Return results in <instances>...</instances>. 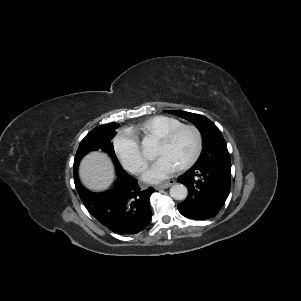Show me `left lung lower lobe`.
<instances>
[{
    "label": "left lung lower lobe",
    "mask_w": 301,
    "mask_h": 301,
    "mask_svg": "<svg viewBox=\"0 0 301 301\" xmlns=\"http://www.w3.org/2000/svg\"><path fill=\"white\" fill-rule=\"evenodd\" d=\"M231 167L194 165L178 181L188 188L179 212L190 219L204 220L218 214L230 192Z\"/></svg>",
    "instance_id": "left-lung-lower-lobe-1"
}]
</instances>
